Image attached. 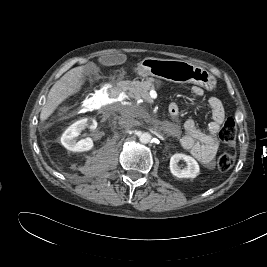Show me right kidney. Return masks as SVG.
<instances>
[{"mask_svg": "<svg viewBox=\"0 0 267 267\" xmlns=\"http://www.w3.org/2000/svg\"><path fill=\"white\" fill-rule=\"evenodd\" d=\"M87 127L90 128L91 130H94L97 127L96 120L84 118L73 123L62 134L61 136L62 145L66 149L73 152H84L91 150L94 145L93 140L91 138L87 137L79 141L76 140V137H78L80 133Z\"/></svg>", "mask_w": 267, "mask_h": 267, "instance_id": "right-kidney-1", "label": "right kidney"}]
</instances>
